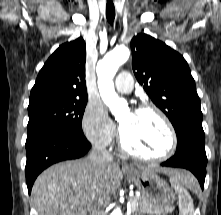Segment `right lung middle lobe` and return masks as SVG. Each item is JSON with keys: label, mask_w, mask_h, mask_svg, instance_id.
<instances>
[{"label": "right lung middle lobe", "mask_w": 221, "mask_h": 215, "mask_svg": "<svg viewBox=\"0 0 221 215\" xmlns=\"http://www.w3.org/2000/svg\"><path fill=\"white\" fill-rule=\"evenodd\" d=\"M87 99L52 100L28 106L27 139L66 131L83 134L81 123Z\"/></svg>", "instance_id": "obj_1"}]
</instances>
